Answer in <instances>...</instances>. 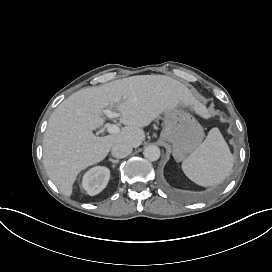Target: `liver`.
I'll list each match as a JSON object with an SVG mask.
<instances>
[{
  "label": "liver",
  "mask_w": 272,
  "mask_h": 272,
  "mask_svg": "<svg viewBox=\"0 0 272 272\" xmlns=\"http://www.w3.org/2000/svg\"><path fill=\"white\" fill-rule=\"evenodd\" d=\"M179 103L201 112L190 89L166 75L131 76L73 93L51 114L44 134L43 162L49 178L70 196L80 171L102 161L117 143L139 147L145 139L142 127ZM114 105L125 126L119 133L96 136L93 130L104 124L102 110Z\"/></svg>",
  "instance_id": "6515ba94"
}]
</instances>
